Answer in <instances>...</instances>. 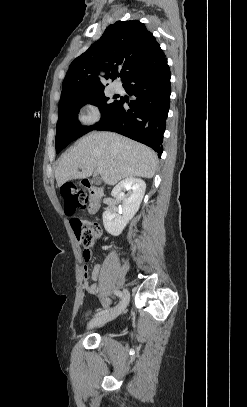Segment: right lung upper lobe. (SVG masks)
Here are the masks:
<instances>
[{
	"mask_svg": "<svg viewBox=\"0 0 247 407\" xmlns=\"http://www.w3.org/2000/svg\"><path fill=\"white\" fill-rule=\"evenodd\" d=\"M165 59L153 34L138 20L118 21L105 30L99 41L69 66L62 84L59 105L104 91L98 81L100 70L123 82L134 72Z\"/></svg>",
	"mask_w": 247,
	"mask_h": 407,
	"instance_id": "1",
	"label": "right lung upper lobe"
}]
</instances>
